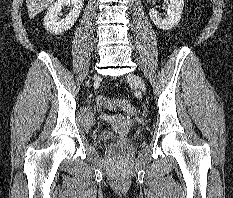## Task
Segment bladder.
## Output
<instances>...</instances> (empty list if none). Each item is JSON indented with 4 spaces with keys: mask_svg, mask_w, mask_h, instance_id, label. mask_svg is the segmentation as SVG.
<instances>
[{
    "mask_svg": "<svg viewBox=\"0 0 233 198\" xmlns=\"http://www.w3.org/2000/svg\"><path fill=\"white\" fill-rule=\"evenodd\" d=\"M93 120H94V118H93V115H92L91 113H86V114H85V121H86L88 124L92 123ZM142 136H143V135H142V133H141L140 131H135V132H133V133L131 134L130 137H131L132 139L138 140V139H141ZM106 138L109 139V140L116 139V135L113 134V133H110V134L107 135Z\"/></svg>",
    "mask_w": 233,
    "mask_h": 198,
    "instance_id": "obj_1",
    "label": "bladder"
}]
</instances>
